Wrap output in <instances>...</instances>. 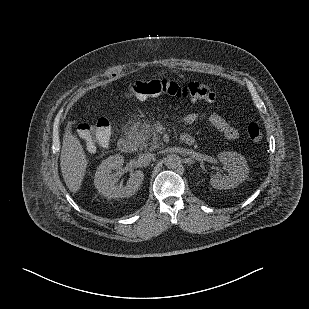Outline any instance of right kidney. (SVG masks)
Listing matches in <instances>:
<instances>
[{
  "instance_id": "ca27d5eb",
  "label": "right kidney",
  "mask_w": 309,
  "mask_h": 309,
  "mask_svg": "<svg viewBox=\"0 0 309 309\" xmlns=\"http://www.w3.org/2000/svg\"><path fill=\"white\" fill-rule=\"evenodd\" d=\"M123 163L124 157L116 154L108 157L97 168L94 185L102 195L110 198H124L133 196L139 190L144 179V173L141 170L132 173L126 185L117 184Z\"/></svg>"
}]
</instances>
